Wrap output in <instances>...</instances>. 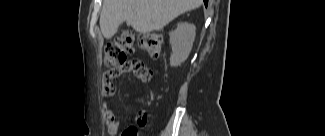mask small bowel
<instances>
[{"label":"small bowel","instance_id":"small-bowel-1","mask_svg":"<svg viewBox=\"0 0 325 136\" xmlns=\"http://www.w3.org/2000/svg\"><path fill=\"white\" fill-rule=\"evenodd\" d=\"M144 57H134L133 61H125L117 68L104 71L102 74V91L105 95L111 96L114 92L113 79L123 73L132 72L138 79L143 82H151L152 75L148 68L144 65ZM104 115L107 122V128L110 135H117L120 131V123L116 120L115 114L112 109L105 104ZM148 114L146 110H139L136 115V122L139 126L146 124ZM135 126H129L125 130H135Z\"/></svg>","mask_w":325,"mask_h":136}]
</instances>
